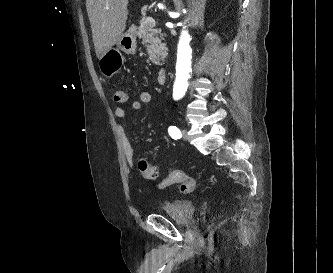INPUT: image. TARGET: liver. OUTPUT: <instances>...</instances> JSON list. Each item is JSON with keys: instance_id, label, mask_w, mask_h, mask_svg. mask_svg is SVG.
<instances>
[{"instance_id": "liver-1", "label": "liver", "mask_w": 333, "mask_h": 273, "mask_svg": "<svg viewBox=\"0 0 333 273\" xmlns=\"http://www.w3.org/2000/svg\"><path fill=\"white\" fill-rule=\"evenodd\" d=\"M128 0H86L96 56L103 55L122 36L128 17Z\"/></svg>"}]
</instances>
